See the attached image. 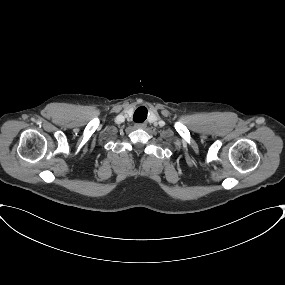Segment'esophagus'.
Here are the masks:
<instances>
[{
    "instance_id": "1",
    "label": "esophagus",
    "mask_w": 285,
    "mask_h": 285,
    "mask_svg": "<svg viewBox=\"0 0 285 285\" xmlns=\"http://www.w3.org/2000/svg\"><path fill=\"white\" fill-rule=\"evenodd\" d=\"M146 124L145 123H136L135 128H145Z\"/></svg>"
}]
</instances>
